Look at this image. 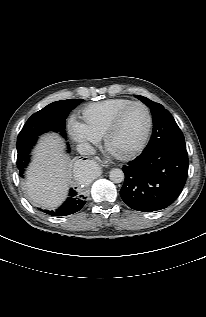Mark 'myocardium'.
<instances>
[{
  "label": "myocardium",
  "instance_id": "myocardium-1",
  "mask_svg": "<svg viewBox=\"0 0 206 317\" xmlns=\"http://www.w3.org/2000/svg\"><path fill=\"white\" fill-rule=\"evenodd\" d=\"M134 106H141L146 111L147 127H146L145 134L143 136L141 143L137 147H135L134 149L127 151V152H123V153L116 152L110 146V139H111L112 135L114 134V132L117 130L124 115L128 112L129 109H131ZM152 126H153V119H152V114H151L150 108L143 102H140V101L132 102V103L128 104L127 106H125L124 108H122L114 116V118L110 122L109 126L107 127V129L103 135L104 147L111 155H113L114 157H116L118 159H121V160L131 159V158L137 156L138 154H140L147 146L149 139H150V136H151Z\"/></svg>",
  "mask_w": 206,
  "mask_h": 317
}]
</instances>
